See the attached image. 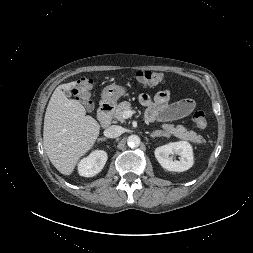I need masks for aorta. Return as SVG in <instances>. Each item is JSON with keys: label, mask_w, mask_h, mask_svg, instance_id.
<instances>
[{"label": "aorta", "mask_w": 253, "mask_h": 253, "mask_svg": "<svg viewBox=\"0 0 253 253\" xmlns=\"http://www.w3.org/2000/svg\"><path fill=\"white\" fill-rule=\"evenodd\" d=\"M127 143L129 147L134 148L140 145L141 140L137 135H130L127 139Z\"/></svg>", "instance_id": "aorta-1"}]
</instances>
